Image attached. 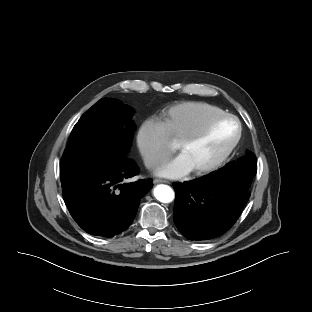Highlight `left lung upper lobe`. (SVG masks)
I'll list each match as a JSON object with an SVG mask.
<instances>
[{"label":"left lung upper lobe","instance_id":"obj_1","mask_svg":"<svg viewBox=\"0 0 312 312\" xmlns=\"http://www.w3.org/2000/svg\"><path fill=\"white\" fill-rule=\"evenodd\" d=\"M257 172L256 156L252 152H247L245 157L231 162L226 167L221 168L216 173H222L230 176L236 182L240 183L249 190L252 179Z\"/></svg>","mask_w":312,"mask_h":312}]
</instances>
